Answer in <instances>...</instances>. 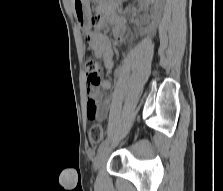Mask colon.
<instances>
[{
  "label": "colon",
  "mask_w": 223,
  "mask_h": 191,
  "mask_svg": "<svg viewBox=\"0 0 223 191\" xmlns=\"http://www.w3.org/2000/svg\"><path fill=\"white\" fill-rule=\"evenodd\" d=\"M87 81L91 85H99L101 83L100 66L97 60L88 59L85 62ZM89 138L92 145L99 144L104 138V129L100 124H94L89 131Z\"/></svg>",
  "instance_id": "1"
}]
</instances>
